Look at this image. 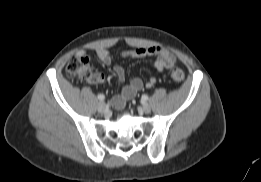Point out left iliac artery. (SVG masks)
<instances>
[{"label":"left iliac artery","mask_w":261,"mask_h":182,"mask_svg":"<svg viewBox=\"0 0 261 182\" xmlns=\"http://www.w3.org/2000/svg\"><path fill=\"white\" fill-rule=\"evenodd\" d=\"M141 100H142V101H147V100H148V96H147V95H145V94H144V95H142V97H141Z\"/></svg>","instance_id":"1"}]
</instances>
